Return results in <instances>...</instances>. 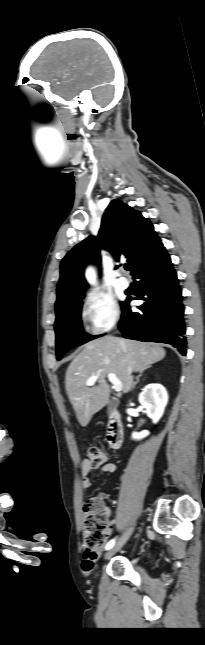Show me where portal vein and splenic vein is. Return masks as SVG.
Masks as SVG:
<instances>
[{
	"label": "portal vein and splenic vein",
	"mask_w": 205,
	"mask_h": 645,
	"mask_svg": "<svg viewBox=\"0 0 205 645\" xmlns=\"http://www.w3.org/2000/svg\"><path fill=\"white\" fill-rule=\"evenodd\" d=\"M107 377H108V380L113 384V389L116 392H120L122 390V382L116 377V375L112 374V373H109L107 375ZM98 378H99V375L91 376L86 381V385L87 386H93L95 384V382L98 380Z\"/></svg>",
	"instance_id": "portal-vein-and-splenic-vein-1"
}]
</instances>
